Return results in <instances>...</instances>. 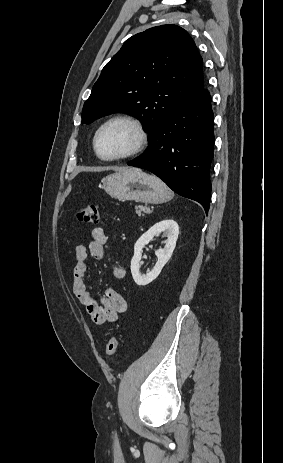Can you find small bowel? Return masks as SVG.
<instances>
[{
    "instance_id": "1",
    "label": "small bowel",
    "mask_w": 283,
    "mask_h": 463,
    "mask_svg": "<svg viewBox=\"0 0 283 463\" xmlns=\"http://www.w3.org/2000/svg\"><path fill=\"white\" fill-rule=\"evenodd\" d=\"M92 240L86 245H78L75 249L74 279L72 293L85 307L93 322L103 324L115 321L127 310V301L112 286L107 287L100 300H96L88 291L85 276L88 270V257L101 259L104 256L108 236L104 229L97 227L91 232ZM112 273L116 279H124L127 270L124 266L113 263Z\"/></svg>"
}]
</instances>
